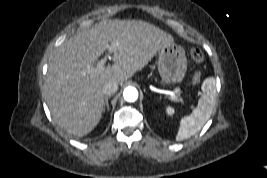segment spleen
Instances as JSON below:
<instances>
[{
    "label": "spleen",
    "mask_w": 267,
    "mask_h": 178,
    "mask_svg": "<svg viewBox=\"0 0 267 178\" xmlns=\"http://www.w3.org/2000/svg\"><path fill=\"white\" fill-rule=\"evenodd\" d=\"M216 98L215 80L207 78L202 84V94L198 100L197 107L189 116H185L180 121V127L176 135V141H183L195 135L209 119L214 101ZM166 114L172 116L174 108L166 107Z\"/></svg>",
    "instance_id": "3e777b00"
}]
</instances>
